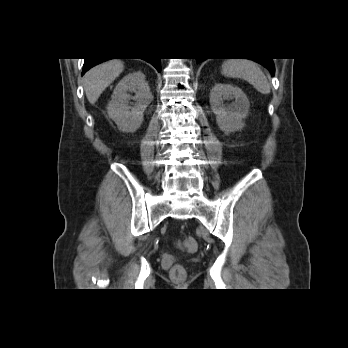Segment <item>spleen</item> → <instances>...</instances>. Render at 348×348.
I'll return each instance as SVG.
<instances>
[{"label": "spleen", "instance_id": "3e777b00", "mask_svg": "<svg viewBox=\"0 0 348 348\" xmlns=\"http://www.w3.org/2000/svg\"><path fill=\"white\" fill-rule=\"evenodd\" d=\"M221 73L226 77L241 78L249 82L261 94L270 93V84L259 66L248 59H230L222 64Z\"/></svg>", "mask_w": 348, "mask_h": 348}]
</instances>
